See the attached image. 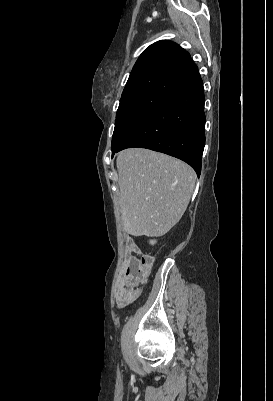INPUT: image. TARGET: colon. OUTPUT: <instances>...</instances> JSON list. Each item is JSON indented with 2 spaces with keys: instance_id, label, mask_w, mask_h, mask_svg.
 Listing matches in <instances>:
<instances>
[{
  "instance_id": "colon-1",
  "label": "colon",
  "mask_w": 273,
  "mask_h": 401,
  "mask_svg": "<svg viewBox=\"0 0 273 401\" xmlns=\"http://www.w3.org/2000/svg\"><path fill=\"white\" fill-rule=\"evenodd\" d=\"M129 254V253H128ZM152 259L150 257H126L125 267L121 268L122 278H118V287L114 294L116 297H137L141 286L138 282H146L151 274Z\"/></svg>"
}]
</instances>
